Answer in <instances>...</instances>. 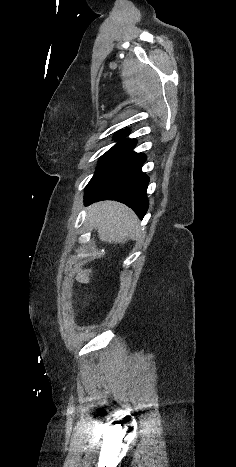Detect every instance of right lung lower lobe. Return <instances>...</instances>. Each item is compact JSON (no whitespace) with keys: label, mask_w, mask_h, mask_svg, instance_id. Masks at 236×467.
<instances>
[{"label":"right lung lower lobe","mask_w":236,"mask_h":467,"mask_svg":"<svg viewBox=\"0 0 236 467\" xmlns=\"http://www.w3.org/2000/svg\"><path fill=\"white\" fill-rule=\"evenodd\" d=\"M135 145L136 141L130 142L98 166L85 188V204L116 200L131 207L139 218L144 217L149 206V177L141 170L146 156L132 151Z\"/></svg>","instance_id":"obj_1"}]
</instances>
